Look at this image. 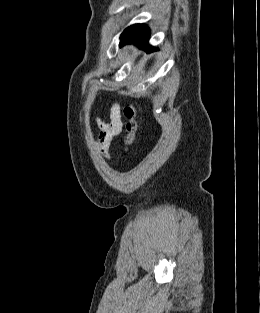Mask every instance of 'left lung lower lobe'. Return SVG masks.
I'll list each match as a JSON object with an SVG mask.
<instances>
[{"label":"left lung lower lobe","mask_w":260,"mask_h":313,"mask_svg":"<svg viewBox=\"0 0 260 313\" xmlns=\"http://www.w3.org/2000/svg\"><path fill=\"white\" fill-rule=\"evenodd\" d=\"M150 30L145 24L132 25L125 34L122 35L120 46L133 43L140 48H145L147 51H153V47L148 45Z\"/></svg>","instance_id":"left-lung-lower-lobe-1"}]
</instances>
